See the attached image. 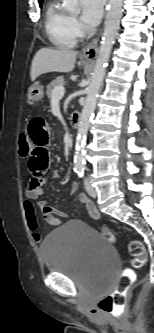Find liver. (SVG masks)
<instances>
[{
    "mask_svg": "<svg viewBox=\"0 0 154 333\" xmlns=\"http://www.w3.org/2000/svg\"><path fill=\"white\" fill-rule=\"evenodd\" d=\"M77 51L66 47L42 48L34 56L31 65V80L34 81L44 73H67L73 70Z\"/></svg>",
    "mask_w": 154,
    "mask_h": 333,
    "instance_id": "1",
    "label": "liver"
}]
</instances>
